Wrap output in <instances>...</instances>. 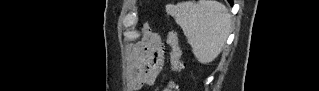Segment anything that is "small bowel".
Wrapping results in <instances>:
<instances>
[{
	"label": "small bowel",
	"mask_w": 319,
	"mask_h": 91,
	"mask_svg": "<svg viewBox=\"0 0 319 91\" xmlns=\"http://www.w3.org/2000/svg\"><path fill=\"white\" fill-rule=\"evenodd\" d=\"M156 51L155 63L151 67H143L142 57L149 51ZM164 64V47L157 33L149 32L146 37L132 49V86L140 89L152 85L160 74Z\"/></svg>",
	"instance_id": "obj_1"
}]
</instances>
